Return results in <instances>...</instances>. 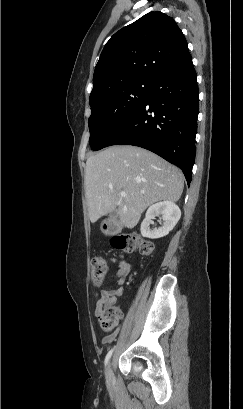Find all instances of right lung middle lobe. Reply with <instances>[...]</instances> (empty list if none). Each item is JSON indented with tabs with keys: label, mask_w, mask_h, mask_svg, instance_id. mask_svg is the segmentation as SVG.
<instances>
[{
	"label": "right lung middle lobe",
	"mask_w": 243,
	"mask_h": 409,
	"mask_svg": "<svg viewBox=\"0 0 243 409\" xmlns=\"http://www.w3.org/2000/svg\"><path fill=\"white\" fill-rule=\"evenodd\" d=\"M153 83L130 82L91 103L90 146L100 150L145 100Z\"/></svg>",
	"instance_id": "dd1d6c3e"
}]
</instances>
